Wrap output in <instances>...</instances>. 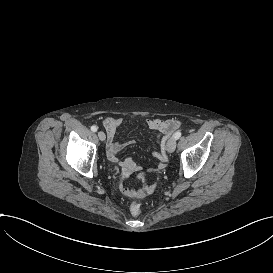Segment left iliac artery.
<instances>
[{
	"label": "left iliac artery",
	"instance_id": "left-iliac-artery-1",
	"mask_svg": "<svg viewBox=\"0 0 273 273\" xmlns=\"http://www.w3.org/2000/svg\"><path fill=\"white\" fill-rule=\"evenodd\" d=\"M181 137V132L180 131H177L175 134H174V138L177 140Z\"/></svg>",
	"mask_w": 273,
	"mask_h": 273
}]
</instances>
